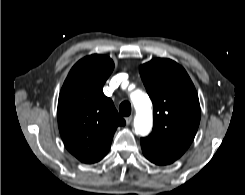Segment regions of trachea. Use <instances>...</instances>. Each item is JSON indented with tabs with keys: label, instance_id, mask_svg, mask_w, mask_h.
Listing matches in <instances>:
<instances>
[{
	"label": "trachea",
	"instance_id": "3493384b",
	"mask_svg": "<svg viewBox=\"0 0 245 195\" xmlns=\"http://www.w3.org/2000/svg\"><path fill=\"white\" fill-rule=\"evenodd\" d=\"M119 112L123 116H129L131 114V104L128 101H124L119 106Z\"/></svg>",
	"mask_w": 245,
	"mask_h": 195
}]
</instances>
